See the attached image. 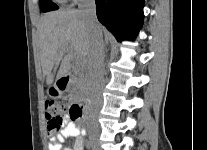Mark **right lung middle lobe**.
<instances>
[{"instance_id":"1","label":"right lung middle lobe","mask_w":207,"mask_h":150,"mask_svg":"<svg viewBox=\"0 0 207 150\" xmlns=\"http://www.w3.org/2000/svg\"><path fill=\"white\" fill-rule=\"evenodd\" d=\"M40 9L42 12H48L58 9V6L54 4L51 0H40Z\"/></svg>"}]
</instances>
